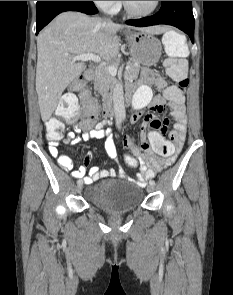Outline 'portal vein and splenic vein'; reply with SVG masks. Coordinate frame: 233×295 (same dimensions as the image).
<instances>
[{
  "instance_id": "18ae733b",
  "label": "portal vein and splenic vein",
  "mask_w": 233,
  "mask_h": 295,
  "mask_svg": "<svg viewBox=\"0 0 233 295\" xmlns=\"http://www.w3.org/2000/svg\"><path fill=\"white\" fill-rule=\"evenodd\" d=\"M71 59H73L74 61H78V60L89 61V60H91V61H94L96 63H101V57L94 54V53H87V54L73 56V57H71ZM117 68H118V66H116V65L107 66V70L111 75H116L117 74ZM125 69L129 70L130 65H127L125 67Z\"/></svg>"
}]
</instances>
